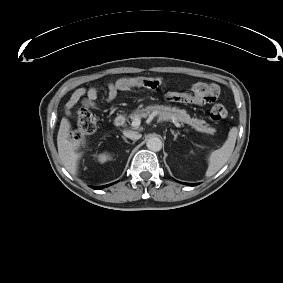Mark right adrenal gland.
Instances as JSON below:
<instances>
[{
  "mask_svg": "<svg viewBox=\"0 0 283 283\" xmlns=\"http://www.w3.org/2000/svg\"><path fill=\"white\" fill-rule=\"evenodd\" d=\"M122 138H123V140H124L126 143H129V142L127 141V139H126L124 136H122Z\"/></svg>",
  "mask_w": 283,
  "mask_h": 283,
  "instance_id": "right-adrenal-gland-1",
  "label": "right adrenal gland"
}]
</instances>
